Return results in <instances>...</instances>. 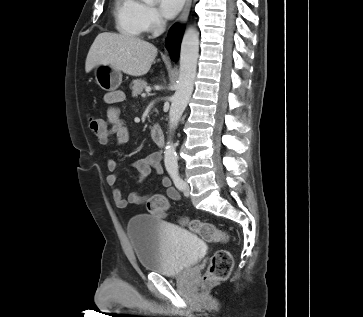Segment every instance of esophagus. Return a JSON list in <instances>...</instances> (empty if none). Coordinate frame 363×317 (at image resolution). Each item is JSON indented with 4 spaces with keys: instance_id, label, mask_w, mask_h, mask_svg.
Returning a JSON list of instances; mask_svg holds the SVG:
<instances>
[{
    "instance_id": "esophagus-1",
    "label": "esophagus",
    "mask_w": 363,
    "mask_h": 317,
    "mask_svg": "<svg viewBox=\"0 0 363 317\" xmlns=\"http://www.w3.org/2000/svg\"><path fill=\"white\" fill-rule=\"evenodd\" d=\"M191 4H192V0H186L184 9H183L181 15L179 16L177 23L183 24L186 22L189 12H190Z\"/></svg>"
}]
</instances>
